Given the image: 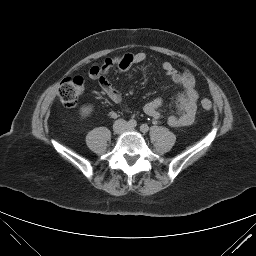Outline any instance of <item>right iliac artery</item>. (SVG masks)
Returning a JSON list of instances; mask_svg holds the SVG:
<instances>
[{
  "instance_id": "1",
  "label": "right iliac artery",
  "mask_w": 256,
  "mask_h": 256,
  "mask_svg": "<svg viewBox=\"0 0 256 256\" xmlns=\"http://www.w3.org/2000/svg\"><path fill=\"white\" fill-rule=\"evenodd\" d=\"M127 125L130 126V127H136L137 126V122L134 119H130L128 121Z\"/></svg>"
}]
</instances>
